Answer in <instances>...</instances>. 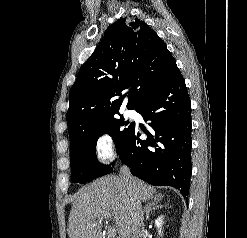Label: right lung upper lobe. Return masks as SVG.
I'll return each instance as SVG.
<instances>
[{"label": "right lung upper lobe", "mask_w": 247, "mask_h": 238, "mask_svg": "<svg viewBox=\"0 0 247 238\" xmlns=\"http://www.w3.org/2000/svg\"><path fill=\"white\" fill-rule=\"evenodd\" d=\"M176 69L165 43L145 22L120 18L110 25L69 93L70 147L88 129L119 114L123 90L129 89L127 107L136 109Z\"/></svg>", "instance_id": "right-lung-upper-lobe-1"}]
</instances>
